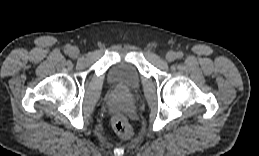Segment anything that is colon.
I'll list each match as a JSON object with an SVG mask.
<instances>
[{
    "label": "colon",
    "mask_w": 259,
    "mask_h": 156,
    "mask_svg": "<svg viewBox=\"0 0 259 156\" xmlns=\"http://www.w3.org/2000/svg\"><path fill=\"white\" fill-rule=\"evenodd\" d=\"M113 127L117 134L124 139H129L133 135L132 127L126 118L121 114H118L114 117Z\"/></svg>",
    "instance_id": "5ec220e1"
}]
</instances>
